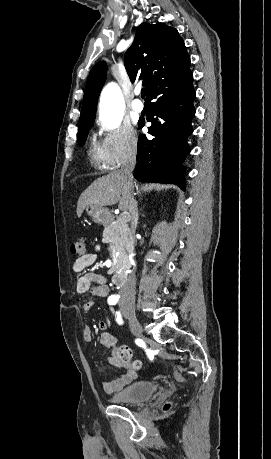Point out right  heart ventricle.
<instances>
[{
	"mask_svg": "<svg viewBox=\"0 0 271 459\" xmlns=\"http://www.w3.org/2000/svg\"><path fill=\"white\" fill-rule=\"evenodd\" d=\"M89 157L93 165L100 167L101 162H100L99 153L95 148H90Z\"/></svg>",
	"mask_w": 271,
	"mask_h": 459,
	"instance_id": "e07e8e85",
	"label": "right heart ventricle"
}]
</instances>
